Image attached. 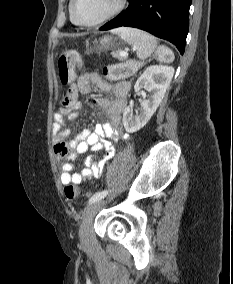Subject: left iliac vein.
<instances>
[{
	"label": "left iliac vein",
	"instance_id": "1",
	"mask_svg": "<svg viewBox=\"0 0 233 284\" xmlns=\"http://www.w3.org/2000/svg\"><path fill=\"white\" fill-rule=\"evenodd\" d=\"M101 207V202L96 201L89 204L83 213L82 223L80 225V240L82 245H89L91 241V226L92 221Z\"/></svg>",
	"mask_w": 233,
	"mask_h": 284
}]
</instances>
